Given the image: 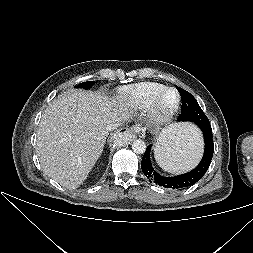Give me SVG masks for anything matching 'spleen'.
<instances>
[{"instance_id": "spleen-1", "label": "spleen", "mask_w": 253, "mask_h": 253, "mask_svg": "<svg viewBox=\"0 0 253 253\" xmlns=\"http://www.w3.org/2000/svg\"><path fill=\"white\" fill-rule=\"evenodd\" d=\"M203 151L201 132L187 123L171 125L159 135L154 148L158 165L170 173L194 168Z\"/></svg>"}]
</instances>
